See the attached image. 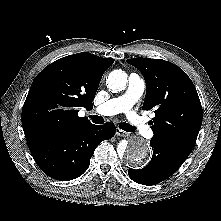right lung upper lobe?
Instances as JSON below:
<instances>
[{
	"instance_id": "obj_1",
	"label": "right lung upper lobe",
	"mask_w": 221,
	"mask_h": 221,
	"mask_svg": "<svg viewBox=\"0 0 221 221\" xmlns=\"http://www.w3.org/2000/svg\"><path fill=\"white\" fill-rule=\"evenodd\" d=\"M113 62L82 52L44 68L33 80L22 109L27 144L90 125L87 117L78 116L79 108H93L102 75Z\"/></svg>"
}]
</instances>
